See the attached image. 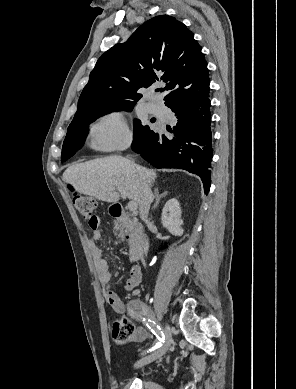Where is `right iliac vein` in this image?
Here are the masks:
<instances>
[{
    "instance_id": "1",
    "label": "right iliac vein",
    "mask_w": 296,
    "mask_h": 389,
    "mask_svg": "<svg viewBox=\"0 0 296 389\" xmlns=\"http://www.w3.org/2000/svg\"><path fill=\"white\" fill-rule=\"evenodd\" d=\"M165 334H166V338H165L163 344L161 345V347L158 350H156L155 352H153L152 354L143 357L140 361H138L137 366H143V365L149 364V363L157 360L158 358H160L161 356H163L166 353V351L168 350V348L171 344V333H170L169 326H166Z\"/></svg>"
}]
</instances>
